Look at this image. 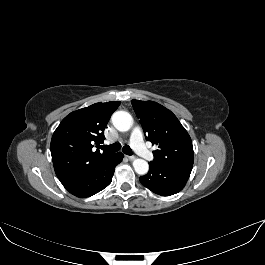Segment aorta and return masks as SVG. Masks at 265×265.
Here are the masks:
<instances>
[{
    "label": "aorta",
    "mask_w": 265,
    "mask_h": 265,
    "mask_svg": "<svg viewBox=\"0 0 265 265\" xmlns=\"http://www.w3.org/2000/svg\"><path fill=\"white\" fill-rule=\"evenodd\" d=\"M111 119L114 127L121 132L128 131L133 124L131 115L126 111L115 112ZM133 167L139 175H145L149 170L148 162L143 159H135L133 161Z\"/></svg>",
    "instance_id": "obj_1"
}]
</instances>
